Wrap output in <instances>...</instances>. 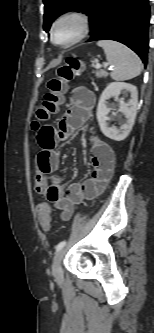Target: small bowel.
<instances>
[{"label":"small bowel","mask_w":154,"mask_h":333,"mask_svg":"<svg viewBox=\"0 0 154 333\" xmlns=\"http://www.w3.org/2000/svg\"><path fill=\"white\" fill-rule=\"evenodd\" d=\"M71 105L59 121L58 127L43 125L36 130L40 151L36 156L34 187L49 204L60 210L61 218L69 220L75 206L100 195L112 179L115 154L111 146L99 135L90 137V159L93 166L91 176L84 182H75L66 189L61 179L54 175L60 163L57 150L61 140L85 126L91 119L95 104L94 93L86 87H76L71 92Z\"/></svg>","instance_id":"1"}]
</instances>
